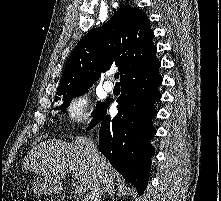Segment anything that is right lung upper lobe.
<instances>
[{
	"label": "right lung upper lobe",
	"mask_w": 221,
	"mask_h": 201,
	"mask_svg": "<svg viewBox=\"0 0 221 201\" xmlns=\"http://www.w3.org/2000/svg\"><path fill=\"white\" fill-rule=\"evenodd\" d=\"M154 33L144 12L124 6L76 45L63 71L57 95L88 89L101 72L118 66L121 82L142 73L158 60Z\"/></svg>",
	"instance_id": "right-lung-upper-lobe-1"
}]
</instances>
